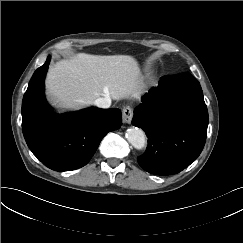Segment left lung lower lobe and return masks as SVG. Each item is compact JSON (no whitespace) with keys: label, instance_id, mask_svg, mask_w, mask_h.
Returning a JSON list of instances; mask_svg holds the SVG:
<instances>
[{"label":"left lung lower lobe","instance_id":"left-lung-lower-lobe-1","mask_svg":"<svg viewBox=\"0 0 243 243\" xmlns=\"http://www.w3.org/2000/svg\"><path fill=\"white\" fill-rule=\"evenodd\" d=\"M132 124L148 136L146 152L137 158L144 170L156 175L182 171L206 141L208 111L199 82L189 73L162 77L142 97Z\"/></svg>","mask_w":243,"mask_h":243}]
</instances>
